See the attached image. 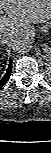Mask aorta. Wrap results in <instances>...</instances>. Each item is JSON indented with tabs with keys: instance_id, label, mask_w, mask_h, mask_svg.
Returning a JSON list of instances; mask_svg holds the SVG:
<instances>
[{
	"instance_id": "1",
	"label": "aorta",
	"mask_w": 51,
	"mask_h": 153,
	"mask_svg": "<svg viewBox=\"0 0 51 153\" xmlns=\"http://www.w3.org/2000/svg\"><path fill=\"white\" fill-rule=\"evenodd\" d=\"M32 45L33 42L31 38L22 34L13 39L12 48L16 53L25 54L32 49Z\"/></svg>"
}]
</instances>
